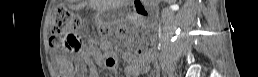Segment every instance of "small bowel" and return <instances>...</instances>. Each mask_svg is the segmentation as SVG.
Wrapping results in <instances>:
<instances>
[{
	"label": "small bowel",
	"mask_w": 258,
	"mask_h": 77,
	"mask_svg": "<svg viewBox=\"0 0 258 77\" xmlns=\"http://www.w3.org/2000/svg\"><path fill=\"white\" fill-rule=\"evenodd\" d=\"M100 57L102 64L106 68L110 70H116L118 68V60L113 52L101 53ZM154 58L155 55L153 52H147L140 56H136L132 53H126L124 55V60L127 64V73L129 75H139L140 73L148 72L149 65ZM64 64L67 65V62L64 61ZM64 72H67V70H64Z\"/></svg>",
	"instance_id": "1"
}]
</instances>
